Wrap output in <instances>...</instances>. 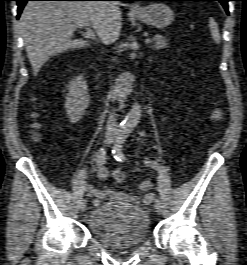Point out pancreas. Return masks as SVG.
<instances>
[{"label":"pancreas","mask_w":247,"mask_h":265,"mask_svg":"<svg viewBox=\"0 0 247 265\" xmlns=\"http://www.w3.org/2000/svg\"><path fill=\"white\" fill-rule=\"evenodd\" d=\"M169 40L162 35H155L154 36V45L153 48L156 50L163 49L168 47Z\"/></svg>","instance_id":"1"}]
</instances>
